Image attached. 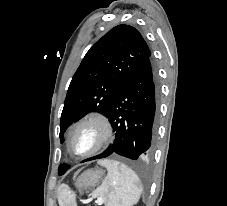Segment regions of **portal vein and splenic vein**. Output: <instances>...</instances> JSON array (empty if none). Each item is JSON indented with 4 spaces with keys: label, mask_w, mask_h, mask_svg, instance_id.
<instances>
[{
    "label": "portal vein and splenic vein",
    "mask_w": 227,
    "mask_h": 206,
    "mask_svg": "<svg viewBox=\"0 0 227 206\" xmlns=\"http://www.w3.org/2000/svg\"><path fill=\"white\" fill-rule=\"evenodd\" d=\"M97 202H98V203H102V200L99 198V199L97 200Z\"/></svg>",
    "instance_id": "obj_1"
}]
</instances>
